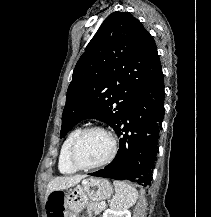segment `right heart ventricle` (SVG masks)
<instances>
[{
  "mask_svg": "<svg viewBox=\"0 0 211 217\" xmlns=\"http://www.w3.org/2000/svg\"><path fill=\"white\" fill-rule=\"evenodd\" d=\"M81 130L82 129L80 127L74 128L69 132L62 143L58 158V169L62 174H73L78 170L69 160V151L74 139Z\"/></svg>",
  "mask_w": 211,
  "mask_h": 217,
  "instance_id": "e07e8e85",
  "label": "right heart ventricle"
}]
</instances>
